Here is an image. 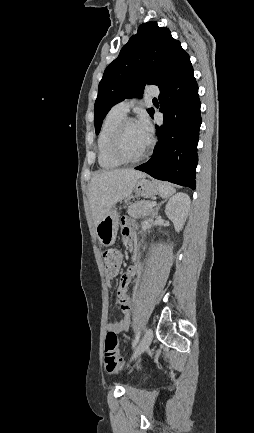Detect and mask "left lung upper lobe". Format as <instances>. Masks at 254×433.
I'll use <instances>...</instances> for the list:
<instances>
[{
  "label": "left lung upper lobe",
  "mask_w": 254,
  "mask_h": 433,
  "mask_svg": "<svg viewBox=\"0 0 254 433\" xmlns=\"http://www.w3.org/2000/svg\"><path fill=\"white\" fill-rule=\"evenodd\" d=\"M186 53L168 28L157 22L139 26L119 56L105 69L94 107L96 134L109 110L126 98L142 94L146 84L161 86ZM149 114L154 110L148 109Z\"/></svg>",
  "instance_id": "5c2ea615"
}]
</instances>
